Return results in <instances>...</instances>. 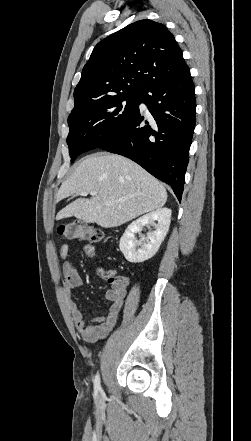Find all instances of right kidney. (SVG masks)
I'll list each match as a JSON object with an SVG mask.
<instances>
[{"label":"right kidney","mask_w":251,"mask_h":441,"mask_svg":"<svg viewBox=\"0 0 251 441\" xmlns=\"http://www.w3.org/2000/svg\"><path fill=\"white\" fill-rule=\"evenodd\" d=\"M155 221H158L155 224ZM171 222V210L160 208L133 221L120 239L119 248L125 259L131 263H140L152 258L167 235ZM155 224V230L146 237L136 240L135 234L143 226ZM140 246V248H138Z\"/></svg>","instance_id":"obj_1"}]
</instances>
